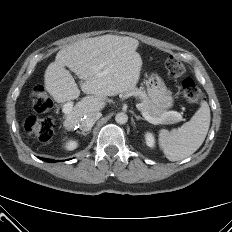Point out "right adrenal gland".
<instances>
[{
    "instance_id": "right-adrenal-gland-1",
    "label": "right adrenal gland",
    "mask_w": 232,
    "mask_h": 232,
    "mask_svg": "<svg viewBox=\"0 0 232 232\" xmlns=\"http://www.w3.org/2000/svg\"><path fill=\"white\" fill-rule=\"evenodd\" d=\"M78 134H81V135H84V136H86V135H88L90 132H91V129L89 130V131H87V132H84V131H82V132H80V131H76Z\"/></svg>"
}]
</instances>
